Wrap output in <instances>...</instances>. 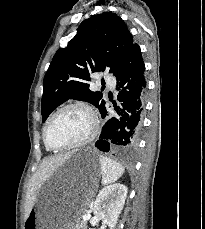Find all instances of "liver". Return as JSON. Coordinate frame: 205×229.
<instances>
[{"label": "liver", "instance_id": "6515ba94", "mask_svg": "<svg viewBox=\"0 0 205 229\" xmlns=\"http://www.w3.org/2000/svg\"><path fill=\"white\" fill-rule=\"evenodd\" d=\"M71 156V153L47 157L42 161L38 172L30 181V189L25 203V219L28 217L36 201L38 189L53 173Z\"/></svg>", "mask_w": 205, "mask_h": 229}]
</instances>
